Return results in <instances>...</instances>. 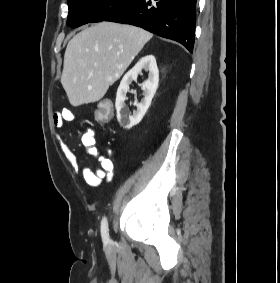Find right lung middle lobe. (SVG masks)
I'll return each instance as SVG.
<instances>
[{
    "label": "right lung middle lobe",
    "mask_w": 280,
    "mask_h": 283,
    "mask_svg": "<svg viewBox=\"0 0 280 283\" xmlns=\"http://www.w3.org/2000/svg\"><path fill=\"white\" fill-rule=\"evenodd\" d=\"M132 0H68L67 25L72 28L104 21Z\"/></svg>",
    "instance_id": "right-lung-middle-lobe-1"
}]
</instances>
